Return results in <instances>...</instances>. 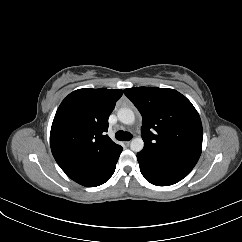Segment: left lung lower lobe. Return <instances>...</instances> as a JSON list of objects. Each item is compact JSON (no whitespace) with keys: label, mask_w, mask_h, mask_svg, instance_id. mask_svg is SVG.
<instances>
[{"label":"left lung lower lobe","mask_w":242,"mask_h":242,"mask_svg":"<svg viewBox=\"0 0 242 242\" xmlns=\"http://www.w3.org/2000/svg\"><path fill=\"white\" fill-rule=\"evenodd\" d=\"M137 159L144 178L157 186L175 184L193 169L192 166L158 157L146 150L139 152Z\"/></svg>","instance_id":"left-lung-lower-lobe-1"}]
</instances>
